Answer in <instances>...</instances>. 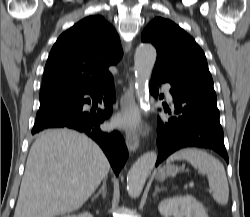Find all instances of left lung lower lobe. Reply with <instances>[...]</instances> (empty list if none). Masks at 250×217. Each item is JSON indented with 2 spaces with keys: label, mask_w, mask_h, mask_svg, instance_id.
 Here are the masks:
<instances>
[{
  "label": "left lung lower lobe",
  "mask_w": 250,
  "mask_h": 217,
  "mask_svg": "<svg viewBox=\"0 0 250 217\" xmlns=\"http://www.w3.org/2000/svg\"><path fill=\"white\" fill-rule=\"evenodd\" d=\"M170 83L174 106H164L172 114L169 119L158 117V159L156 166L175 151L186 147L208 148L220 154L228 163L223 130L214 89L169 82L153 74L150 92L157 97L159 83Z\"/></svg>",
  "instance_id": "1"
}]
</instances>
